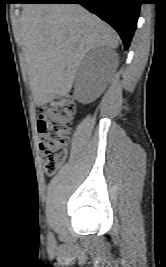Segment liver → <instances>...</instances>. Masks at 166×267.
<instances>
[{
    "label": "liver",
    "mask_w": 166,
    "mask_h": 267,
    "mask_svg": "<svg viewBox=\"0 0 166 267\" xmlns=\"http://www.w3.org/2000/svg\"><path fill=\"white\" fill-rule=\"evenodd\" d=\"M19 40L34 103L37 106L67 95L78 68L91 49H116L117 33L79 4H27Z\"/></svg>",
    "instance_id": "obj_1"
}]
</instances>
